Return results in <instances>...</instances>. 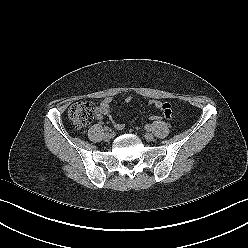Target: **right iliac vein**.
I'll use <instances>...</instances> for the list:
<instances>
[{"label":"right iliac vein","instance_id":"63e3f726","mask_svg":"<svg viewBox=\"0 0 248 248\" xmlns=\"http://www.w3.org/2000/svg\"><path fill=\"white\" fill-rule=\"evenodd\" d=\"M112 138H113L112 133L106 132V133L104 134V140H105V141H110Z\"/></svg>","mask_w":248,"mask_h":248}]
</instances>
